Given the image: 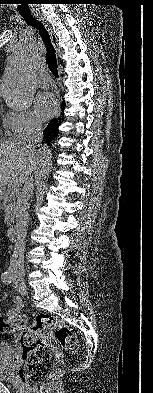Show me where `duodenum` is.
<instances>
[{
    "label": "duodenum",
    "instance_id": "410a0bca",
    "mask_svg": "<svg viewBox=\"0 0 153 393\" xmlns=\"http://www.w3.org/2000/svg\"><path fill=\"white\" fill-rule=\"evenodd\" d=\"M8 237L12 240L17 239V234H18V228L15 224H12L9 226L8 231H7Z\"/></svg>",
    "mask_w": 153,
    "mask_h": 393
}]
</instances>
